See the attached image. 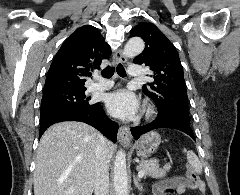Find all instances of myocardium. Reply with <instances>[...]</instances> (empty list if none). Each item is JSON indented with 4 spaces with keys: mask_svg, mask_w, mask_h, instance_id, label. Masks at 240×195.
Here are the masks:
<instances>
[{
    "mask_svg": "<svg viewBox=\"0 0 240 195\" xmlns=\"http://www.w3.org/2000/svg\"><path fill=\"white\" fill-rule=\"evenodd\" d=\"M154 115V108L151 104H146L143 109V116L145 119H150Z\"/></svg>",
    "mask_w": 240,
    "mask_h": 195,
    "instance_id": "1",
    "label": "myocardium"
}]
</instances>
